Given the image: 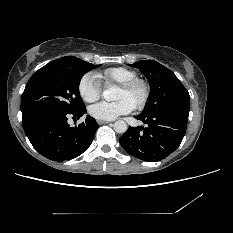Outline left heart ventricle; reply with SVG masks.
Wrapping results in <instances>:
<instances>
[{
  "mask_svg": "<svg viewBox=\"0 0 233 233\" xmlns=\"http://www.w3.org/2000/svg\"><path fill=\"white\" fill-rule=\"evenodd\" d=\"M139 97H140L139 90H136L135 92H128L124 90L123 88L119 87L116 92L115 99L120 100V99L126 98L130 100L133 104H135Z\"/></svg>",
  "mask_w": 233,
  "mask_h": 233,
  "instance_id": "obj_1",
  "label": "left heart ventricle"
}]
</instances>
